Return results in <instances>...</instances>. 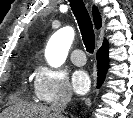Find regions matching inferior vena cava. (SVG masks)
<instances>
[{"label": "inferior vena cava", "mask_w": 133, "mask_h": 118, "mask_svg": "<svg viewBox=\"0 0 133 118\" xmlns=\"http://www.w3.org/2000/svg\"><path fill=\"white\" fill-rule=\"evenodd\" d=\"M72 93L69 89H61L54 102L51 105L52 110V116L54 118H61V113L63 112L64 108L68 104V102L71 100Z\"/></svg>", "instance_id": "1"}]
</instances>
